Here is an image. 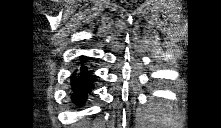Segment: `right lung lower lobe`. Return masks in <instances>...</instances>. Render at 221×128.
I'll return each mask as SVG.
<instances>
[{
    "label": "right lung lower lobe",
    "instance_id": "98d812e1",
    "mask_svg": "<svg viewBox=\"0 0 221 128\" xmlns=\"http://www.w3.org/2000/svg\"><path fill=\"white\" fill-rule=\"evenodd\" d=\"M84 60H86V58L82 56L79 74L77 75L74 72L71 76V99L79 106L83 105L95 81V76L92 75V71H88V68L83 65Z\"/></svg>",
    "mask_w": 221,
    "mask_h": 128
}]
</instances>
